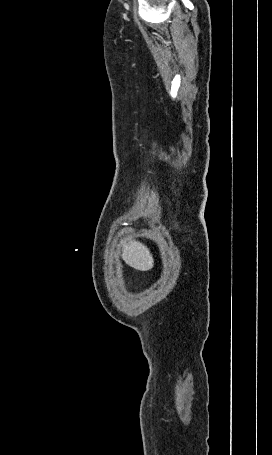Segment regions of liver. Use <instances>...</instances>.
Wrapping results in <instances>:
<instances>
[{"mask_svg":"<svg viewBox=\"0 0 272 455\" xmlns=\"http://www.w3.org/2000/svg\"><path fill=\"white\" fill-rule=\"evenodd\" d=\"M122 247V258L128 265L140 271L153 268L152 254L144 244L136 241L122 242Z\"/></svg>","mask_w":272,"mask_h":455,"instance_id":"liver-1","label":"liver"}]
</instances>
